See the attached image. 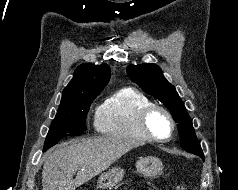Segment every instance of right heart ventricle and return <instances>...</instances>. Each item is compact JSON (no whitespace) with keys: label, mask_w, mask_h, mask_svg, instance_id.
I'll use <instances>...</instances> for the list:
<instances>
[{"label":"right heart ventricle","mask_w":238,"mask_h":190,"mask_svg":"<svg viewBox=\"0 0 238 190\" xmlns=\"http://www.w3.org/2000/svg\"><path fill=\"white\" fill-rule=\"evenodd\" d=\"M150 104H152L151 100L136 89H119L97 108L96 130L107 136L148 141L149 138L139 126L138 117L141 110Z\"/></svg>","instance_id":"e07e8e85"}]
</instances>
